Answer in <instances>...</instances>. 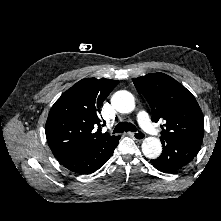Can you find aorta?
Here are the masks:
<instances>
[{
    "instance_id": "obj_1",
    "label": "aorta",
    "mask_w": 221,
    "mask_h": 221,
    "mask_svg": "<svg viewBox=\"0 0 221 221\" xmlns=\"http://www.w3.org/2000/svg\"><path fill=\"white\" fill-rule=\"evenodd\" d=\"M112 106L120 113H130L135 108L133 95L128 91H117L111 98ZM142 152L149 159H156L162 152V144L156 137H147L142 143Z\"/></svg>"
}]
</instances>
